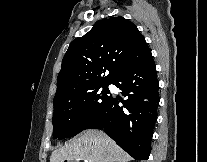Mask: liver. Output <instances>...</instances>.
I'll list each match as a JSON object with an SVG mask.
<instances>
[{"instance_id":"1","label":"liver","mask_w":207,"mask_h":162,"mask_svg":"<svg viewBox=\"0 0 207 162\" xmlns=\"http://www.w3.org/2000/svg\"><path fill=\"white\" fill-rule=\"evenodd\" d=\"M129 162L132 158L103 131L86 130L79 137L54 150L50 162Z\"/></svg>"}]
</instances>
